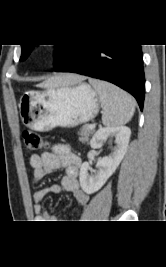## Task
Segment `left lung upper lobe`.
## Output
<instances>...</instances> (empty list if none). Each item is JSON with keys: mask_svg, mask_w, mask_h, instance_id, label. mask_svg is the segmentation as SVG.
Wrapping results in <instances>:
<instances>
[{"mask_svg": "<svg viewBox=\"0 0 166 267\" xmlns=\"http://www.w3.org/2000/svg\"><path fill=\"white\" fill-rule=\"evenodd\" d=\"M21 46H22V54H21L20 61H23L29 56V54L31 53L34 45H26V44H24V45H21ZM66 46L67 45H58V47L55 49L54 54H55V56L57 58V63L61 59L62 54H63Z\"/></svg>", "mask_w": 166, "mask_h": 267, "instance_id": "5c2ea615", "label": "left lung upper lobe"}]
</instances>
